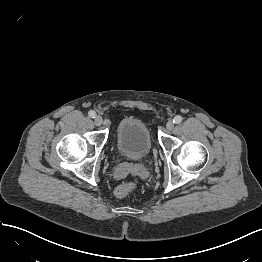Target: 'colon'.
<instances>
[{
  "instance_id": "obj_1",
  "label": "colon",
  "mask_w": 262,
  "mask_h": 262,
  "mask_svg": "<svg viewBox=\"0 0 262 262\" xmlns=\"http://www.w3.org/2000/svg\"><path fill=\"white\" fill-rule=\"evenodd\" d=\"M136 187V183L133 181L125 182L118 185L115 189V196L117 198H125Z\"/></svg>"
}]
</instances>
